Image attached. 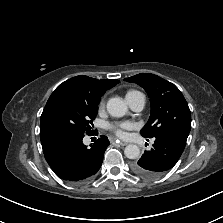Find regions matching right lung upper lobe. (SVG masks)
<instances>
[{
  "label": "right lung upper lobe",
  "instance_id": "cb5924a9",
  "mask_svg": "<svg viewBox=\"0 0 223 223\" xmlns=\"http://www.w3.org/2000/svg\"><path fill=\"white\" fill-rule=\"evenodd\" d=\"M118 83L119 81L116 79L98 80L84 75L76 76L60 84L48 101L64 94H75L100 101L101 96Z\"/></svg>",
  "mask_w": 223,
  "mask_h": 223
}]
</instances>
